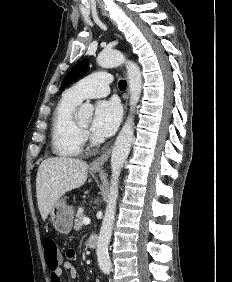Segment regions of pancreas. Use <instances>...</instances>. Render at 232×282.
<instances>
[{
  "mask_svg": "<svg viewBox=\"0 0 232 282\" xmlns=\"http://www.w3.org/2000/svg\"><path fill=\"white\" fill-rule=\"evenodd\" d=\"M85 217V215L83 213H77L75 216V225H74V229L76 231L80 230L82 227V223H83V218Z\"/></svg>",
  "mask_w": 232,
  "mask_h": 282,
  "instance_id": "cf45deb5",
  "label": "pancreas"
}]
</instances>
